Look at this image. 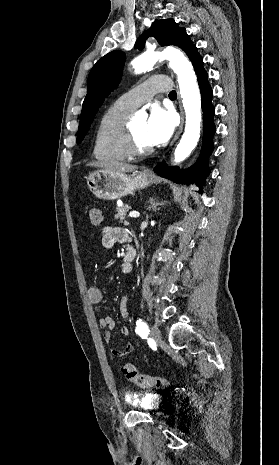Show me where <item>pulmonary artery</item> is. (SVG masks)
I'll list each match as a JSON object with an SVG mask.
<instances>
[{"label":"pulmonary artery","instance_id":"obj_1","mask_svg":"<svg viewBox=\"0 0 279 465\" xmlns=\"http://www.w3.org/2000/svg\"><path fill=\"white\" fill-rule=\"evenodd\" d=\"M170 88V81L167 77L154 76L121 95L116 102L127 109L135 110L150 101L156 93L167 92Z\"/></svg>","mask_w":279,"mask_h":465}]
</instances>
